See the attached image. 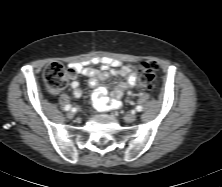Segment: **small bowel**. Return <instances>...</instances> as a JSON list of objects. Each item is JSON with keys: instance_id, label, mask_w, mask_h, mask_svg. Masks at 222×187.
I'll return each mask as SVG.
<instances>
[{"instance_id": "obj_1", "label": "small bowel", "mask_w": 222, "mask_h": 187, "mask_svg": "<svg viewBox=\"0 0 222 187\" xmlns=\"http://www.w3.org/2000/svg\"><path fill=\"white\" fill-rule=\"evenodd\" d=\"M101 65V69L91 67ZM82 74L89 78L88 84L93 89L92 101L99 110H113L121 107V99L124 95L131 96L138 79V71L131 64L109 57H92L83 62L70 64L68 75L71 79L72 95L76 98L83 94V90L76 80L77 75ZM110 75H119L126 80L111 90L100 85Z\"/></svg>"}]
</instances>
